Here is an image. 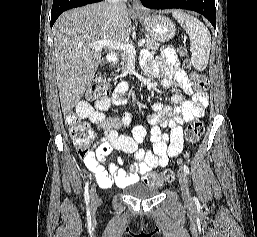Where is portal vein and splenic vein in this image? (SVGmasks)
Segmentation results:
<instances>
[{"mask_svg":"<svg viewBox=\"0 0 257 237\" xmlns=\"http://www.w3.org/2000/svg\"><path fill=\"white\" fill-rule=\"evenodd\" d=\"M145 44V40H140L138 43V46H142ZM90 47H92L95 50H102L103 48H109L112 50H117V51H124L128 53L129 55H135L136 51L135 48L132 44L129 43H122V42H115V41H110V40H99L96 42H93L89 44Z\"/></svg>","mask_w":257,"mask_h":237,"instance_id":"obj_1","label":"portal vein and splenic vein"}]
</instances>
